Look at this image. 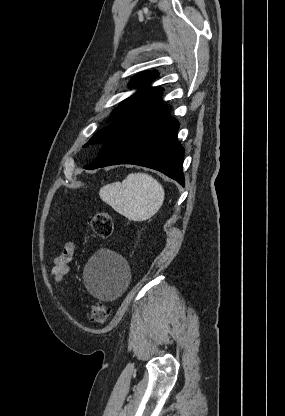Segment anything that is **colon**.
Segmentation results:
<instances>
[{
  "mask_svg": "<svg viewBox=\"0 0 285 416\" xmlns=\"http://www.w3.org/2000/svg\"><path fill=\"white\" fill-rule=\"evenodd\" d=\"M89 225L94 234L102 239L112 235L113 220L108 212H97L89 218ZM112 310L108 304L99 301L92 304L90 309V319L97 324H104L110 318Z\"/></svg>",
  "mask_w": 285,
  "mask_h": 416,
  "instance_id": "colon-1",
  "label": "colon"
}]
</instances>
